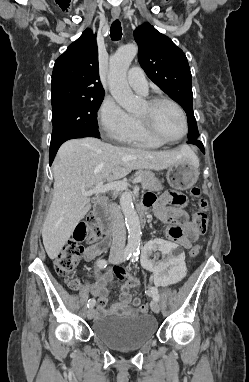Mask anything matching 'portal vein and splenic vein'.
Wrapping results in <instances>:
<instances>
[{"label":"portal vein and splenic vein","mask_w":249,"mask_h":382,"mask_svg":"<svg viewBox=\"0 0 249 382\" xmlns=\"http://www.w3.org/2000/svg\"><path fill=\"white\" fill-rule=\"evenodd\" d=\"M141 181H142V178L137 177L132 182L136 184V183H140ZM128 185L129 184L126 181H112L105 185L103 184V182H101L88 191H82V194L86 196H91L93 194L106 193L111 190L120 191V190L127 189Z\"/></svg>","instance_id":"1"}]
</instances>
